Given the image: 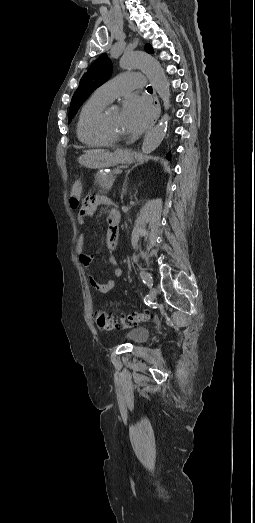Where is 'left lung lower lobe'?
I'll return each mask as SVG.
<instances>
[{
	"mask_svg": "<svg viewBox=\"0 0 255 523\" xmlns=\"http://www.w3.org/2000/svg\"><path fill=\"white\" fill-rule=\"evenodd\" d=\"M174 144H175V141H171V143L168 145V148H169L170 150H173V149L175 148V145H174ZM169 149H164V152H167V153L165 154V157H166L167 159H170V158H171V160H175V154H174V153H170V152H169Z\"/></svg>",
	"mask_w": 255,
	"mask_h": 523,
	"instance_id": "left-lung-lower-lobe-1",
	"label": "left lung lower lobe"
}]
</instances>
